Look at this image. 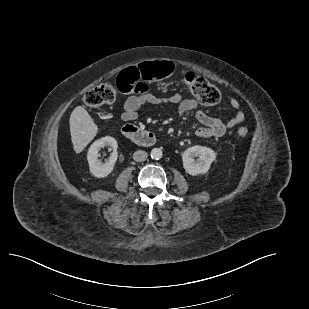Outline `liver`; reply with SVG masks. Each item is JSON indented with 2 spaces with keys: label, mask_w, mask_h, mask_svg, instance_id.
I'll use <instances>...</instances> for the list:
<instances>
[{
  "label": "liver",
  "mask_w": 309,
  "mask_h": 309,
  "mask_svg": "<svg viewBox=\"0 0 309 309\" xmlns=\"http://www.w3.org/2000/svg\"><path fill=\"white\" fill-rule=\"evenodd\" d=\"M69 125L74 151L80 153L94 139L98 127L89 113L81 106H77L72 111Z\"/></svg>",
  "instance_id": "obj_1"
}]
</instances>
